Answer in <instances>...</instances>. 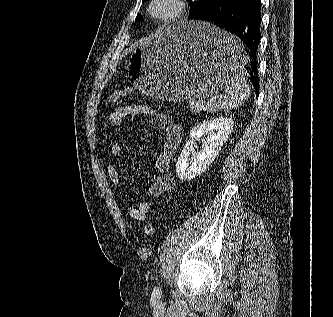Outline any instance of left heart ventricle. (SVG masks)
I'll return each instance as SVG.
<instances>
[{
    "label": "left heart ventricle",
    "mask_w": 333,
    "mask_h": 317,
    "mask_svg": "<svg viewBox=\"0 0 333 317\" xmlns=\"http://www.w3.org/2000/svg\"><path fill=\"white\" fill-rule=\"evenodd\" d=\"M167 10H168V6L165 4H161L156 7V11L160 12V13L166 12Z\"/></svg>",
    "instance_id": "b2bd125f"
}]
</instances>
